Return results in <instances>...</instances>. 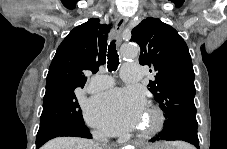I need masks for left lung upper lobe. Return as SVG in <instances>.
I'll use <instances>...</instances> for the list:
<instances>
[{
	"label": "left lung upper lobe",
	"mask_w": 227,
	"mask_h": 149,
	"mask_svg": "<svg viewBox=\"0 0 227 149\" xmlns=\"http://www.w3.org/2000/svg\"><path fill=\"white\" fill-rule=\"evenodd\" d=\"M131 41L139 44L141 65L155 74L149 90L167 119H196L194 71L188 47L171 26L146 18L132 30Z\"/></svg>",
	"instance_id": "left-lung-upper-lobe-1"
}]
</instances>
